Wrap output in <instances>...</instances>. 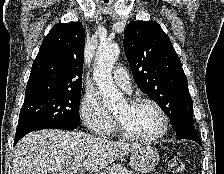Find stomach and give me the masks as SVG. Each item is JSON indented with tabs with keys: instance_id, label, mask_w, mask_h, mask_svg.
<instances>
[{
	"instance_id": "1",
	"label": "stomach",
	"mask_w": 224,
	"mask_h": 174,
	"mask_svg": "<svg viewBox=\"0 0 224 174\" xmlns=\"http://www.w3.org/2000/svg\"><path fill=\"white\" fill-rule=\"evenodd\" d=\"M159 161L158 151L146 144H141L130 157V166L140 173H147L152 170Z\"/></svg>"
}]
</instances>
